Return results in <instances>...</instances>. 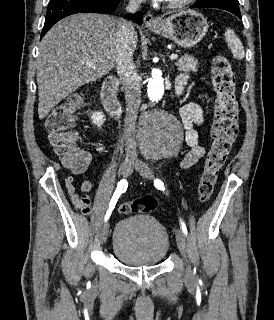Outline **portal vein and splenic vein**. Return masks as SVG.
Listing matches in <instances>:
<instances>
[{
    "instance_id": "1",
    "label": "portal vein and splenic vein",
    "mask_w": 274,
    "mask_h": 320,
    "mask_svg": "<svg viewBox=\"0 0 274 320\" xmlns=\"http://www.w3.org/2000/svg\"><path fill=\"white\" fill-rule=\"evenodd\" d=\"M177 58V54H172V56H170V60H177ZM87 66H91L90 62H87Z\"/></svg>"
}]
</instances>
